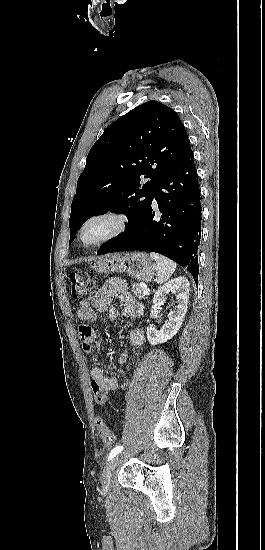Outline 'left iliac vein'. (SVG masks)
Masks as SVG:
<instances>
[{"mask_svg": "<svg viewBox=\"0 0 265 550\" xmlns=\"http://www.w3.org/2000/svg\"><path fill=\"white\" fill-rule=\"evenodd\" d=\"M120 456L114 457V459L107 465L102 473V482L104 485L108 486L110 484L112 473L116 466L118 465Z\"/></svg>", "mask_w": 265, "mask_h": 550, "instance_id": "1", "label": "left iliac vein"}]
</instances>
